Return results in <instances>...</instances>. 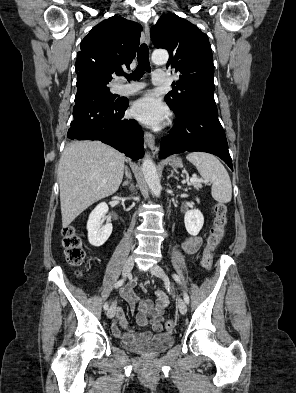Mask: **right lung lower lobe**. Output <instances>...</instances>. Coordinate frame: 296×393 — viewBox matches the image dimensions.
Returning a JSON list of instances; mask_svg holds the SVG:
<instances>
[{
  "mask_svg": "<svg viewBox=\"0 0 296 393\" xmlns=\"http://www.w3.org/2000/svg\"><path fill=\"white\" fill-rule=\"evenodd\" d=\"M77 94L69 139L100 140L126 156L143 157V131L133 119L124 118L128 99L108 100L88 77L77 76Z\"/></svg>",
  "mask_w": 296,
  "mask_h": 393,
  "instance_id": "98d812e1",
  "label": "right lung lower lobe"
}]
</instances>
